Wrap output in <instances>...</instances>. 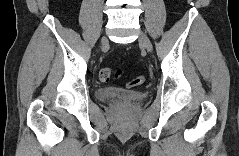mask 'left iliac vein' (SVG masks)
I'll use <instances>...</instances> for the list:
<instances>
[{
    "label": "left iliac vein",
    "instance_id": "left-iliac-vein-1",
    "mask_svg": "<svg viewBox=\"0 0 239 156\" xmlns=\"http://www.w3.org/2000/svg\"><path fill=\"white\" fill-rule=\"evenodd\" d=\"M139 43L148 51L152 52V44L147 35H145L143 32L139 35Z\"/></svg>",
    "mask_w": 239,
    "mask_h": 156
}]
</instances>
